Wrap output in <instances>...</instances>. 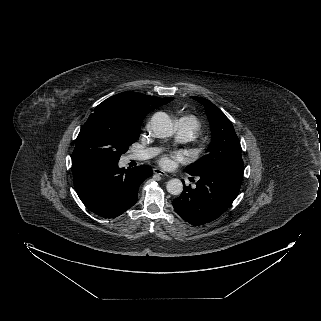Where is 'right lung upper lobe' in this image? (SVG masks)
Returning a JSON list of instances; mask_svg holds the SVG:
<instances>
[{
    "label": "right lung upper lobe",
    "mask_w": 321,
    "mask_h": 321,
    "mask_svg": "<svg viewBox=\"0 0 321 321\" xmlns=\"http://www.w3.org/2000/svg\"><path fill=\"white\" fill-rule=\"evenodd\" d=\"M173 99V97L158 98L138 92H122L106 99L101 104L121 108L133 119L143 120L150 111Z\"/></svg>",
    "instance_id": "1"
}]
</instances>
